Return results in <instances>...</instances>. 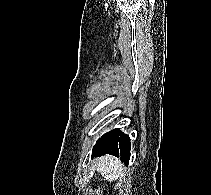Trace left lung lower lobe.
<instances>
[{
	"instance_id": "1",
	"label": "left lung lower lobe",
	"mask_w": 211,
	"mask_h": 195,
	"mask_svg": "<svg viewBox=\"0 0 211 195\" xmlns=\"http://www.w3.org/2000/svg\"><path fill=\"white\" fill-rule=\"evenodd\" d=\"M105 154L120 157L125 164L129 163L130 158V138L119 129H113L105 133L98 139L92 149V158L100 157Z\"/></svg>"
}]
</instances>
